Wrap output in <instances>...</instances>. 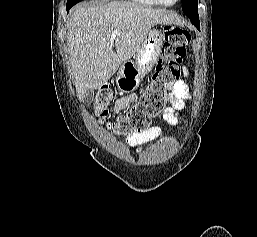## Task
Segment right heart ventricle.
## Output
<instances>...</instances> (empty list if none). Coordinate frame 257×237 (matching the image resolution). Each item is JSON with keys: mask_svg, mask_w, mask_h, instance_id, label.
I'll return each mask as SVG.
<instances>
[{"mask_svg": "<svg viewBox=\"0 0 257 237\" xmlns=\"http://www.w3.org/2000/svg\"><path fill=\"white\" fill-rule=\"evenodd\" d=\"M132 2L142 4V5H147V6H156L158 5L156 0H131Z\"/></svg>", "mask_w": 257, "mask_h": 237, "instance_id": "obj_1", "label": "right heart ventricle"}]
</instances>
